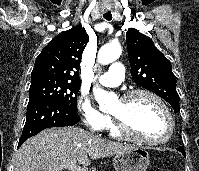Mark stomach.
I'll use <instances>...</instances> for the list:
<instances>
[{"label":"stomach","mask_w":199,"mask_h":171,"mask_svg":"<svg viewBox=\"0 0 199 171\" xmlns=\"http://www.w3.org/2000/svg\"><path fill=\"white\" fill-rule=\"evenodd\" d=\"M149 164V153L142 148L120 152L113 159L115 171H147Z\"/></svg>","instance_id":"0dacf381"}]
</instances>
